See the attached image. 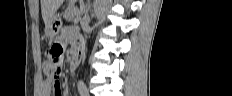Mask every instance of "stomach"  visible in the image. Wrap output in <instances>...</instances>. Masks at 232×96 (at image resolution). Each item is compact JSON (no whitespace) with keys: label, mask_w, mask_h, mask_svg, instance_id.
Wrapping results in <instances>:
<instances>
[{"label":"stomach","mask_w":232,"mask_h":96,"mask_svg":"<svg viewBox=\"0 0 232 96\" xmlns=\"http://www.w3.org/2000/svg\"><path fill=\"white\" fill-rule=\"evenodd\" d=\"M61 24L62 22L59 16L54 14L50 22L46 25V28H45L46 35L49 38L54 37L59 32L61 28Z\"/></svg>","instance_id":"obj_1"}]
</instances>
